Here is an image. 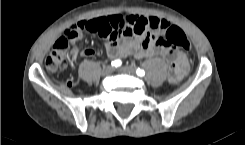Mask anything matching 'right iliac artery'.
<instances>
[{"label":"right iliac artery","instance_id":"obj_1","mask_svg":"<svg viewBox=\"0 0 245 145\" xmlns=\"http://www.w3.org/2000/svg\"><path fill=\"white\" fill-rule=\"evenodd\" d=\"M111 64L114 67H119V66H121L122 62H121V60H114V61H112Z\"/></svg>","mask_w":245,"mask_h":145}]
</instances>
